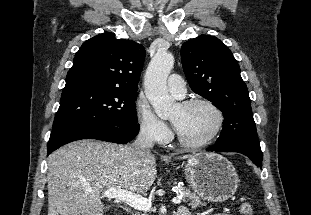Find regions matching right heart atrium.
I'll use <instances>...</instances> for the list:
<instances>
[{
  "label": "right heart atrium",
  "mask_w": 311,
  "mask_h": 215,
  "mask_svg": "<svg viewBox=\"0 0 311 215\" xmlns=\"http://www.w3.org/2000/svg\"><path fill=\"white\" fill-rule=\"evenodd\" d=\"M134 114L140 133L147 139L157 143H164L171 137L167 125L155 115L151 106L143 97L136 99Z\"/></svg>",
  "instance_id": "d8ad5b80"
}]
</instances>
